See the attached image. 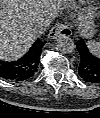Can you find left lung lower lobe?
Segmentation results:
<instances>
[{"instance_id":"0a47b994","label":"left lung lower lobe","mask_w":100,"mask_h":118,"mask_svg":"<svg viewBox=\"0 0 100 118\" xmlns=\"http://www.w3.org/2000/svg\"><path fill=\"white\" fill-rule=\"evenodd\" d=\"M76 47L80 53L79 75L87 83H100V58L89 52L83 40Z\"/></svg>"}]
</instances>
